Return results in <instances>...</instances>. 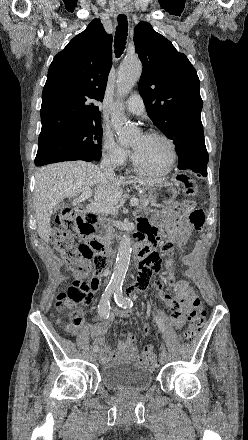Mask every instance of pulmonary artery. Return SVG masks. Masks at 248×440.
Returning <instances> with one entry per match:
<instances>
[{"label": "pulmonary artery", "mask_w": 248, "mask_h": 440, "mask_svg": "<svg viewBox=\"0 0 248 440\" xmlns=\"http://www.w3.org/2000/svg\"><path fill=\"white\" fill-rule=\"evenodd\" d=\"M125 109L134 115H142L145 112V105L139 94L131 95L125 102Z\"/></svg>", "instance_id": "1"}]
</instances>
